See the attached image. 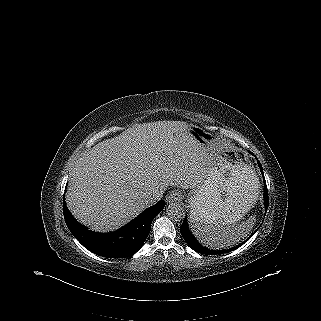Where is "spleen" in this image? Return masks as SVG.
Wrapping results in <instances>:
<instances>
[{"instance_id": "3e777b00", "label": "spleen", "mask_w": 321, "mask_h": 321, "mask_svg": "<svg viewBox=\"0 0 321 321\" xmlns=\"http://www.w3.org/2000/svg\"><path fill=\"white\" fill-rule=\"evenodd\" d=\"M215 219V218H214ZM255 217L251 216L246 221L237 225H229L211 221L193 219L192 233L200 242L211 249H223L239 243L247 237L255 224Z\"/></svg>"}]
</instances>
